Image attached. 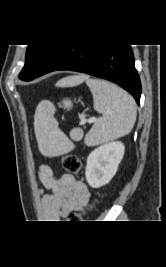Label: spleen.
Segmentation results:
<instances>
[{"label":"spleen","mask_w":166,"mask_h":267,"mask_svg":"<svg viewBox=\"0 0 166 267\" xmlns=\"http://www.w3.org/2000/svg\"><path fill=\"white\" fill-rule=\"evenodd\" d=\"M94 99V109L103 116L98 118L86 134L84 143L96 146L128 134L136 120V106L132 96L120 87L100 79H87ZM35 134L42 154L57 156L74 148L73 143L58 128L48 113L39 114L35 121Z\"/></svg>","instance_id":"spleen-1"}]
</instances>
